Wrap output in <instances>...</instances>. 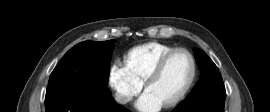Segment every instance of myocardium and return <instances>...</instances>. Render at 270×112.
<instances>
[{"mask_svg":"<svg viewBox=\"0 0 270 112\" xmlns=\"http://www.w3.org/2000/svg\"><path fill=\"white\" fill-rule=\"evenodd\" d=\"M180 52L185 53L190 59L191 75H190V78H189L187 84L185 85L184 89L174 99H172L171 101L166 103L164 105L165 108L174 107V106L178 105L180 102H182L186 98V96L189 94V92L191 91V89L195 83V80L197 77V62H196V59H195L194 55L192 54V52H190L188 49L183 48V47H176V48H173L172 50H170L169 52L165 53L157 61V63L155 64V66L153 67L151 72L148 74V76L144 82V89L146 90L147 87L161 75L168 60L174 54L180 53Z\"/></svg>","mask_w":270,"mask_h":112,"instance_id":"f54148a6","label":"myocardium"}]
</instances>
